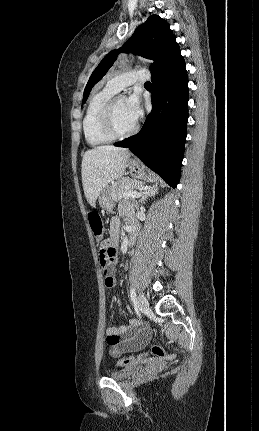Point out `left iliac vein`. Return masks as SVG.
I'll use <instances>...</instances> for the list:
<instances>
[{
    "label": "left iliac vein",
    "mask_w": 259,
    "mask_h": 431,
    "mask_svg": "<svg viewBox=\"0 0 259 431\" xmlns=\"http://www.w3.org/2000/svg\"><path fill=\"white\" fill-rule=\"evenodd\" d=\"M137 306L141 311H145L149 307V302L143 294H139L137 298Z\"/></svg>",
    "instance_id": "left-iliac-vein-1"
}]
</instances>
